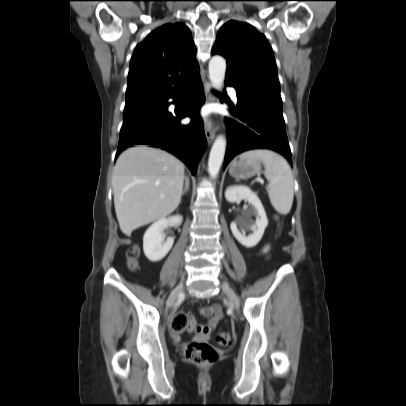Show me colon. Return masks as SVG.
<instances>
[{
  "label": "colon",
  "mask_w": 406,
  "mask_h": 406,
  "mask_svg": "<svg viewBox=\"0 0 406 406\" xmlns=\"http://www.w3.org/2000/svg\"><path fill=\"white\" fill-rule=\"evenodd\" d=\"M139 256V250L137 247L133 246L128 249L127 257L131 268L137 267V259ZM171 329L175 333H182L185 331L193 332L206 331L207 326L199 325L194 317L185 312H178L173 315L171 319ZM216 341L220 345H228L232 341L230 334L221 332L217 334ZM185 356L186 358L197 365L207 366L216 362L218 354L216 349L206 341H191L185 346Z\"/></svg>",
  "instance_id": "colon-1"
}]
</instances>
